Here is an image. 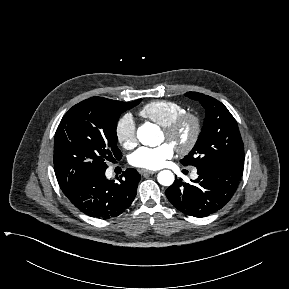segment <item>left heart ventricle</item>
<instances>
[{
    "mask_svg": "<svg viewBox=\"0 0 289 289\" xmlns=\"http://www.w3.org/2000/svg\"><path fill=\"white\" fill-rule=\"evenodd\" d=\"M192 133V125L190 123H186L180 131L177 133V135L169 139L163 132L161 135V142H167L171 144L174 148L178 145H182L188 141Z\"/></svg>",
    "mask_w": 289,
    "mask_h": 289,
    "instance_id": "b2bd125f",
    "label": "left heart ventricle"
}]
</instances>
